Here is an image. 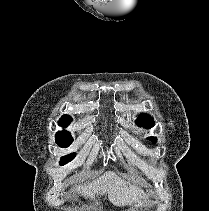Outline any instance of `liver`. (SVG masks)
<instances>
[{
	"label": "liver",
	"mask_w": 209,
	"mask_h": 211,
	"mask_svg": "<svg viewBox=\"0 0 209 211\" xmlns=\"http://www.w3.org/2000/svg\"><path fill=\"white\" fill-rule=\"evenodd\" d=\"M74 191L91 199H94L95 195L102 196L107 193L109 201L119 207L131 205L134 202L147 198L139 187L132 185L114 172H106L93 182L77 186Z\"/></svg>",
	"instance_id": "obj_1"
}]
</instances>
